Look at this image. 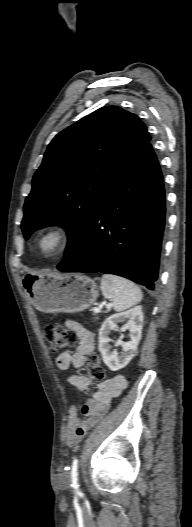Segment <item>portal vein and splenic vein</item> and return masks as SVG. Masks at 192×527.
<instances>
[{"label": "portal vein and splenic vein", "instance_id": "portal-vein-and-splenic-vein-1", "mask_svg": "<svg viewBox=\"0 0 192 527\" xmlns=\"http://www.w3.org/2000/svg\"><path fill=\"white\" fill-rule=\"evenodd\" d=\"M93 311H94L95 313H99V312H101V309H100V308H94Z\"/></svg>", "mask_w": 192, "mask_h": 527}]
</instances>
